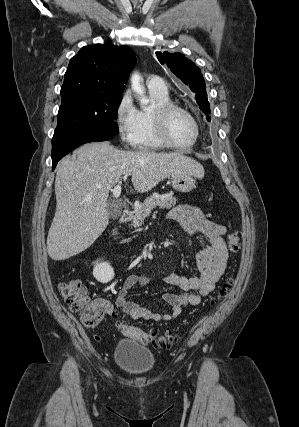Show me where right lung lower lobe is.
Here are the masks:
<instances>
[{
  "mask_svg": "<svg viewBox=\"0 0 299 427\" xmlns=\"http://www.w3.org/2000/svg\"><path fill=\"white\" fill-rule=\"evenodd\" d=\"M113 136L105 135H80L61 140L52 144V170L55 169L57 162L66 154L71 152L78 146L89 143L110 140Z\"/></svg>",
  "mask_w": 299,
  "mask_h": 427,
  "instance_id": "obj_1",
  "label": "right lung lower lobe"
}]
</instances>
